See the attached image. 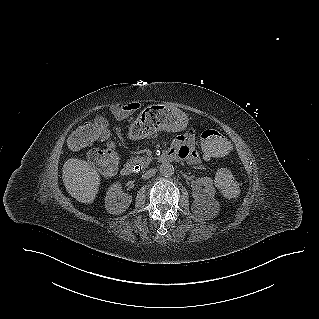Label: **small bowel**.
I'll return each mask as SVG.
<instances>
[{"label": "small bowel", "instance_id": "small-bowel-1", "mask_svg": "<svg viewBox=\"0 0 319 319\" xmlns=\"http://www.w3.org/2000/svg\"><path fill=\"white\" fill-rule=\"evenodd\" d=\"M137 108L134 103H121L115 106L114 113L118 117H126L129 113H132ZM175 158L174 159H185L191 164H198L200 157L194 147V131L190 130L187 133L176 137L169 149ZM208 156V155H206Z\"/></svg>", "mask_w": 319, "mask_h": 319}]
</instances>
